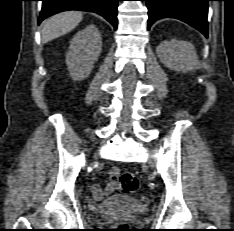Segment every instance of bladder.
Masks as SVG:
<instances>
[{
    "label": "bladder",
    "mask_w": 234,
    "mask_h": 231,
    "mask_svg": "<svg viewBox=\"0 0 234 231\" xmlns=\"http://www.w3.org/2000/svg\"><path fill=\"white\" fill-rule=\"evenodd\" d=\"M96 212L99 214L116 212L145 214L147 212V206L140 199L125 195H116L100 203L96 207Z\"/></svg>",
    "instance_id": "obj_1"
}]
</instances>
